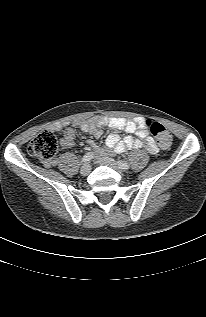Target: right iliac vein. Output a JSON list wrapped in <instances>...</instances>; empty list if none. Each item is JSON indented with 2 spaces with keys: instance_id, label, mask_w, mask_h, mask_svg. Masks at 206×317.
<instances>
[{
  "instance_id": "63e3f726",
  "label": "right iliac vein",
  "mask_w": 206,
  "mask_h": 317,
  "mask_svg": "<svg viewBox=\"0 0 206 317\" xmlns=\"http://www.w3.org/2000/svg\"><path fill=\"white\" fill-rule=\"evenodd\" d=\"M91 171V166L90 164L88 163H85L83 164V166L81 167V170H80V173L83 175V176H86L90 173Z\"/></svg>"
}]
</instances>
